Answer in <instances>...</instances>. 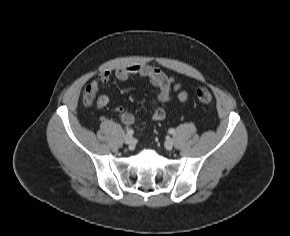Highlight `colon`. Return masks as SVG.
Masks as SVG:
<instances>
[{"label": "colon", "instance_id": "colon-1", "mask_svg": "<svg viewBox=\"0 0 290 236\" xmlns=\"http://www.w3.org/2000/svg\"><path fill=\"white\" fill-rule=\"evenodd\" d=\"M95 96H96L95 91L91 87H86L83 94L84 103L88 106H91L95 100ZM196 97L199 103L204 105L209 104L213 98L210 90L203 86L197 89Z\"/></svg>", "mask_w": 290, "mask_h": 236}]
</instances>
